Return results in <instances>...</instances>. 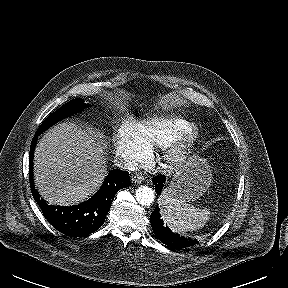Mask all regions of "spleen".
<instances>
[{
	"instance_id": "3e777b00",
	"label": "spleen",
	"mask_w": 288,
	"mask_h": 288,
	"mask_svg": "<svg viewBox=\"0 0 288 288\" xmlns=\"http://www.w3.org/2000/svg\"><path fill=\"white\" fill-rule=\"evenodd\" d=\"M160 204L164 221L181 232L199 229L209 219L210 212L207 209L194 207L167 193L163 195Z\"/></svg>"
}]
</instances>
